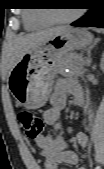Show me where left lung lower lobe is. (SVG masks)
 <instances>
[{
  "instance_id": "obj_1",
  "label": "left lung lower lobe",
  "mask_w": 104,
  "mask_h": 169,
  "mask_svg": "<svg viewBox=\"0 0 104 169\" xmlns=\"http://www.w3.org/2000/svg\"><path fill=\"white\" fill-rule=\"evenodd\" d=\"M94 7L81 19L73 22L72 26L77 27H99L104 28V10L99 4H93Z\"/></svg>"
}]
</instances>
